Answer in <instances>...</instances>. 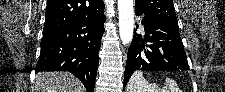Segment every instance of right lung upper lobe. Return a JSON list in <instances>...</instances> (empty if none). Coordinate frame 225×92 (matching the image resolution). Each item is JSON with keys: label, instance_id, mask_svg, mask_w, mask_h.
<instances>
[{"label": "right lung upper lobe", "instance_id": "1", "mask_svg": "<svg viewBox=\"0 0 225 92\" xmlns=\"http://www.w3.org/2000/svg\"><path fill=\"white\" fill-rule=\"evenodd\" d=\"M104 11L103 0H47L43 34L54 32Z\"/></svg>", "mask_w": 225, "mask_h": 92}]
</instances>
